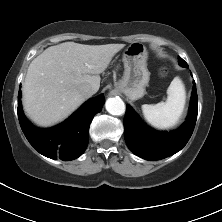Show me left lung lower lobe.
<instances>
[{"mask_svg": "<svg viewBox=\"0 0 222 222\" xmlns=\"http://www.w3.org/2000/svg\"><path fill=\"white\" fill-rule=\"evenodd\" d=\"M198 113V97L194 82L189 114L184 124L175 131L158 132L145 125L127 105L124 119V138L128 148L146 160H161L181 150L191 137Z\"/></svg>", "mask_w": 222, "mask_h": 222, "instance_id": "0a47b994", "label": "left lung lower lobe"}]
</instances>
